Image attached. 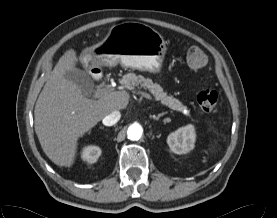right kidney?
I'll list each match as a JSON object with an SVG mask.
<instances>
[{
    "label": "right kidney",
    "mask_w": 277,
    "mask_h": 218,
    "mask_svg": "<svg viewBox=\"0 0 277 218\" xmlns=\"http://www.w3.org/2000/svg\"><path fill=\"white\" fill-rule=\"evenodd\" d=\"M101 155V149L98 146H87L83 148L81 158L87 163H95Z\"/></svg>",
    "instance_id": "right-kidney-1"
}]
</instances>
